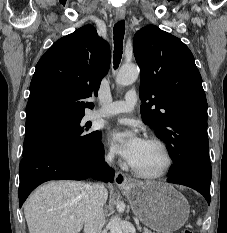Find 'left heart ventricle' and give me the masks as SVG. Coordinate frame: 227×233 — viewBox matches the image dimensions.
I'll return each instance as SVG.
<instances>
[{
    "instance_id": "1",
    "label": "left heart ventricle",
    "mask_w": 227,
    "mask_h": 233,
    "mask_svg": "<svg viewBox=\"0 0 227 233\" xmlns=\"http://www.w3.org/2000/svg\"><path fill=\"white\" fill-rule=\"evenodd\" d=\"M131 164L144 172H157L164 167L165 156L157 145L145 142Z\"/></svg>"
}]
</instances>
